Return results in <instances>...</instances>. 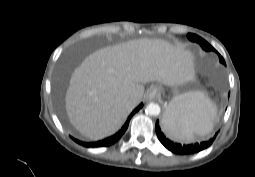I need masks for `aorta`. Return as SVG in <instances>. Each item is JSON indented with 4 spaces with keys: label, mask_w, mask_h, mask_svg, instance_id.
Listing matches in <instances>:
<instances>
[{
    "label": "aorta",
    "mask_w": 255,
    "mask_h": 177,
    "mask_svg": "<svg viewBox=\"0 0 255 177\" xmlns=\"http://www.w3.org/2000/svg\"><path fill=\"white\" fill-rule=\"evenodd\" d=\"M160 106L156 103H150L146 107V113L151 116H157L160 114Z\"/></svg>",
    "instance_id": "aorta-1"
}]
</instances>
